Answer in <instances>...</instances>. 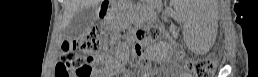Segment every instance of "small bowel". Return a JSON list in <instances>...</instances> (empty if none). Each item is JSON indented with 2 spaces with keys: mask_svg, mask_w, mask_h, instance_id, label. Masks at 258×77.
<instances>
[{
  "mask_svg": "<svg viewBox=\"0 0 258 77\" xmlns=\"http://www.w3.org/2000/svg\"><path fill=\"white\" fill-rule=\"evenodd\" d=\"M127 58V50L114 55L100 56L102 69L96 77H105L121 70Z\"/></svg>",
  "mask_w": 258,
  "mask_h": 77,
  "instance_id": "small-bowel-1",
  "label": "small bowel"
}]
</instances>
